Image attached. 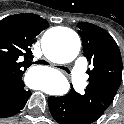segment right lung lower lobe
Masks as SVG:
<instances>
[{"instance_id":"1","label":"right lung lower lobe","mask_w":124,"mask_h":124,"mask_svg":"<svg viewBox=\"0 0 124 124\" xmlns=\"http://www.w3.org/2000/svg\"><path fill=\"white\" fill-rule=\"evenodd\" d=\"M31 92L24 86L0 92V118L10 117L23 109Z\"/></svg>"}]
</instances>
